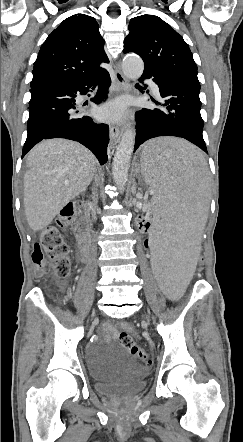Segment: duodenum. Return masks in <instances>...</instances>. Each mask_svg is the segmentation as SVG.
I'll return each mask as SVG.
<instances>
[{
  "label": "duodenum",
  "mask_w": 243,
  "mask_h": 442,
  "mask_svg": "<svg viewBox=\"0 0 243 442\" xmlns=\"http://www.w3.org/2000/svg\"><path fill=\"white\" fill-rule=\"evenodd\" d=\"M78 206V216L73 224V232L79 245V258L83 262H87L90 255L89 246V226L87 220V209L84 205Z\"/></svg>",
  "instance_id": "410a0bca"
}]
</instances>
